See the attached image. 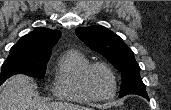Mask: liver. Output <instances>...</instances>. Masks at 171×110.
<instances>
[{
  "label": "liver",
  "instance_id": "6515ba94",
  "mask_svg": "<svg viewBox=\"0 0 171 110\" xmlns=\"http://www.w3.org/2000/svg\"><path fill=\"white\" fill-rule=\"evenodd\" d=\"M36 85L23 74L9 78L0 94V110H87L86 107L56 102L43 103L33 99Z\"/></svg>",
  "mask_w": 171,
  "mask_h": 110
}]
</instances>
